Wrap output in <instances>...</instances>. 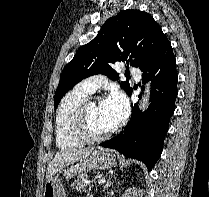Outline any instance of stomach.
Listing matches in <instances>:
<instances>
[{"mask_svg": "<svg viewBox=\"0 0 209 197\" xmlns=\"http://www.w3.org/2000/svg\"><path fill=\"white\" fill-rule=\"evenodd\" d=\"M116 164V156L113 152L98 148L93 150L89 156L73 163L62 172L67 179H70L75 175L83 173L85 170L110 169L116 166ZM43 197H66L61 179L58 176H53L50 180L46 181Z\"/></svg>", "mask_w": 209, "mask_h": 197, "instance_id": "stomach-1", "label": "stomach"}]
</instances>
